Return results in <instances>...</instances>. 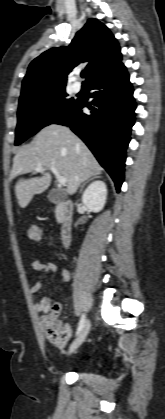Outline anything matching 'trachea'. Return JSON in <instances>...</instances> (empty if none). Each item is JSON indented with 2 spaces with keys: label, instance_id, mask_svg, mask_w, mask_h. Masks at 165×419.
I'll list each match as a JSON object with an SVG mask.
<instances>
[{
  "label": "trachea",
  "instance_id": "1",
  "mask_svg": "<svg viewBox=\"0 0 165 419\" xmlns=\"http://www.w3.org/2000/svg\"><path fill=\"white\" fill-rule=\"evenodd\" d=\"M85 76H86V71H82V73H81V77H82V78H85Z\"/></svg>",
  "mask_w": 165,
  "mask_h": 419
}]
</instances>
